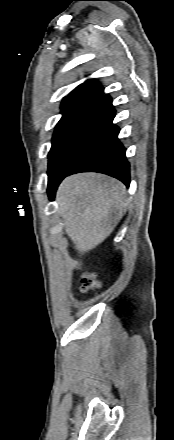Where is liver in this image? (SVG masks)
<instances>
[{
    "label": "liver",
    "instance_id": "1",
    "mask_svg": "<svg viewBox=\"0 0 174 440\" xmlns=\"http://www.w3.org/2000/svg\"><path fill=\"white\" fill-rule=\"evenodd\" d=\"M56 200L65 232L80 254L94 249L113 232L129 204L126 187L99 173L66 177ZM81 265L75 262L74 266L81 269Z\"/></svg>",
    "mask_w": 174,
    "mask_h": 440
}]
</instances>
